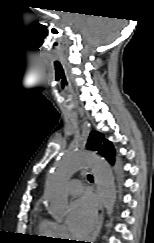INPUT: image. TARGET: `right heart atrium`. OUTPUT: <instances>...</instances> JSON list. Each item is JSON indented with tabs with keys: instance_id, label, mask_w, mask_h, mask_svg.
Masks as SVG:
<instances>
[{
	"instance_id": "right-heart-atrium-1",
	"label": "right heart atrium",
	"mask_w": 154,
	"mask_h": 243,
	"mask_svg": "<svg viewBox=\"0 0 154 243\" xmlns=\"http://www.w3.org/2000/svg\"><path fill=\"white\" fill-rule=\"evenodd\" d=\"M54 227H55V232L56 235L60 238H68L69 234L67 229L65 228V226L58 224V223H54Z\"/></svg>"
}]
</instances>
